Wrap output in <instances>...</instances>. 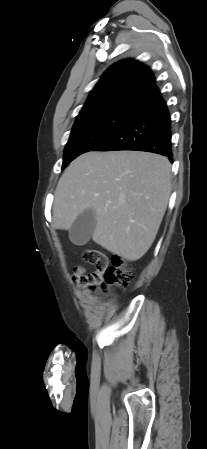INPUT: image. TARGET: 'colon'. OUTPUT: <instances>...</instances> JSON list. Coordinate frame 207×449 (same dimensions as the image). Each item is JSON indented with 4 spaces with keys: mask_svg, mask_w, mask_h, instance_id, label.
<instances>
[{
    "mask_svg": "<svg viewBox=\"0 0 207 449\" xmlns=\"http://www.w3.org/2000/svg\"><path fill=\"white\" fill-rule=\"evenodd\" d=\"M82 259L96 267L89 280L95 282L103 278L101 289L104 293H108L113 286L128 287L134 280L133 272L125 268V262L119 256H114L109 264L107 256L100 250L86 249Z\"/></svg>",
    "mask_w": 207,
    "mask_h": 449,
    "instance_id": "5ec220e1",
    "label": "colon"
}]
</instances>
